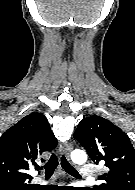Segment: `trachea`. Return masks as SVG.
Masks as SVG:
<instances>
[{
	"label": "trachea",
	"mask_w": 135,
	"mask_h": 190,
	"mask_svg": "<svg viewBox=\"0 0 135 190\" xmlns=\"http://www.w3.org/2000/svg\"><path fill=\"white\" fill-rule=\"evenodd\" d=\"M61 165L63 169L69 173L70 175L80 178L79 173L68 163L66 158L64 156L61 157ZM58 165V157L55 154H52L51 158L49 161L44 165L45 169V176L46 177H51L53 172L55 171V168ZM43 167H38L37 169H42Z\"/></svg>",
	"instance_id": "3493384b"
}]
</instances>
